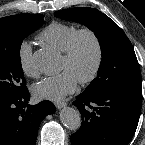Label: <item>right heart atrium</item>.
Returning <instances> with one entry per match:
<instances>
[{
  "label": "right heart atrium",
  "instance_id": "1",
  "mask_svg": "<svg viewBox=\"0 0 145 145\" xmlns=\"http://www.w3.org/2000/svg\"><path fill=\"white\" fill-rule=\"evenodd\" d=\"M18 62L23 74L30 78L38 77L32 61V48L29 42L23 41L18 48Z\"/></svg>",
  "mask_w": 145,
  "mask_h": 145
}]
</instances>
